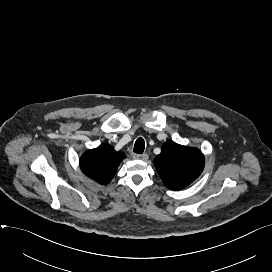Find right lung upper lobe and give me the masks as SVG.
<instances>
[{
    "label": "right lung upper lobe",
    "mask_w": 272,
    "mask_h": 272,
    "mask_svg": "<svg viewBox=\"0 0 272 272\" xmlns=\"http://www.w3.org/2000/svg\"><path fill=\"white\" fill-rule=\"evenodd\" d=\"M124 153L117 152L113 146L102 144L88 150L80 158V168L89 178L100 184H108L115 175Z\"/></svg>",
    "instance_id": "cb5924a9"
}]
</instances>
